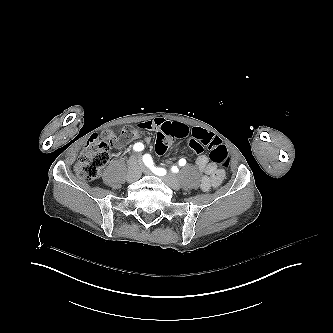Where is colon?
Returning a JSON list of instances; mask_svg holds the SVG:
<instances>
[{
    "label": "colon",
    "instance_id": "obj_1",
    "mask_svg": "<svg viewBox=\"0 0 333 333\" xmlns=\"http://www.w3.org/2000/svg\"><path fill=\"white\" fill-rule=\"evenodd\" d=\"M137 130L134 125L128 124L123 130L104 131L98 136L90 138L76 163L75 171L79 178L87 181L98 178L101 169L109 159L108 148L119 150L124 147L125 141L134 138ZM188 139L187 145L195 153L204 148L209 150L210 160L221 169L229 166L230 158L226 145L218 138L204 129L192 127L188 124L165 123L156 134L155 151L166 154L169 151L170 139Z\"/></svg>",
    "mask_w": 333,
    "mask_h": 333
}]
</instances>
